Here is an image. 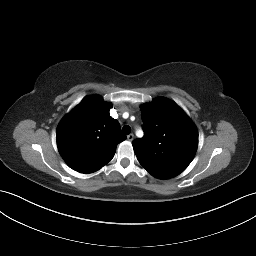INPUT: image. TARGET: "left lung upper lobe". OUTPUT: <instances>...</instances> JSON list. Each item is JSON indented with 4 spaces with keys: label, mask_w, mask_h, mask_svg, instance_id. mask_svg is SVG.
Wrapping results in <instances>:
<instances>
[{
    "label": "left lung upper lobe",
    "mask_w": 256,
    "mask_h": 256,
    "mask_svg": "<svg viewBox=\"0 0 256 256\" xmlns=\"http://www.w3.org/2000/svg\"><path fill=\"white\" fill-rule=\"evenodd\" d=\"M141 111L144 136L132 142L138 161L156 178L179 175L197 150L195 125L177 104L165 98L143 105Z\"/></svg>",
    "instance_id": "left-lung-upper-lobe-1"
}]
</instances>
